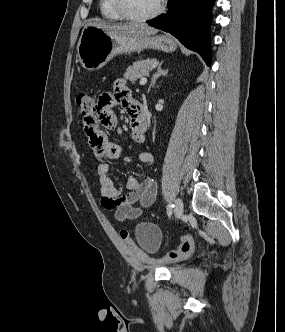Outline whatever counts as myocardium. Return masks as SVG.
Instances as JSON below:
<instances>
[{
	"label": "myocardium",
	"instance_id": "myocardium-1",
	"mask_svg": "<svg viewBox=\"0 0 285 332\" xmlns=\"http://www.w3.org/2000/svg\"><path fill=\"white\" fill-rule=\"evenodd\" d=\"M112 4L115 10L120 14L124 19L134 21V22H145L151 19L156 18L163 10L162 1L159 2L158 7L151 13L146 15H136L129 11L124 0H112Z\"/></svg>",
	"mask_w": 285,
	"mask_h": 332
}]
</instances>
